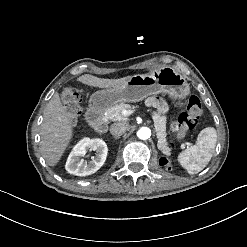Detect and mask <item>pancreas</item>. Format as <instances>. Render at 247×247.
<instances>
[{
  "label": "pancreas",
  "instance_id": "1",
  "mask_svg": "<svg viewBox=\"0 0 247 247\" xmlns=\"http://www.w3.org/2000/svg\"><path fill=\"white\" fill-rule=\"evenodd\" d=\"M123 110L130 111L131 107L127 104L121 103L119 105L107 109L103 113V116L111 121H128V117L123 114ZM166 123L167 119L165 117L159 116L158 114L154 115V127L158 139V149L163 150L164 153L169 152V149L166 148L167 143L165 142Z\"/></svg>",
  "mask_w": 247,
  "mask_h": 247
}]
</instances>
